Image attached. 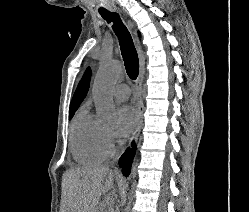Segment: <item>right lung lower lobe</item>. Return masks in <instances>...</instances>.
I'll return each instance as SVG.
<instances>
[{
    "label": "right lung lower lobe",
    "instance_id": "obj_1",
    "mask_svg": "<svg viewBox=\"0 0 249 212\" xmlns=\"http://www.w3.org/2000/svg\"><path fill=\"white\" fill-rule=\"evenodd\" d=\"M132 146V151L128 148L119 160V166L122 167V172L125 176L129 175L131 164L134 158L135 146Z\"/></svg>",
    "mask_w": 249,
    "mask_h": 212
}]
</instances>
